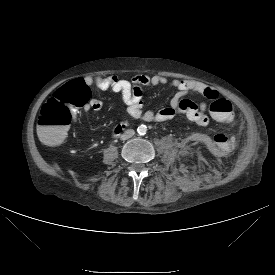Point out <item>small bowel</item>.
Segmentation results:
<instances>
[{
  "label": "small bowel",
  "instance_id": "c3829d8e",
  "mask_svg": "<svg viewBox=\"0 0 275 275\" xmlns=\"http://www.w3.org/2000/svg\"><path fill=\"white\" fill-rule=\"evenodd\" d=\"M85 83L95 86L102 90H110L121 96L123 103L127 107V111L134 119H142L146 122H165L179 115L186 116L192 122L205 126L210 119L206 112V104L193 105L187 96L192 92L203 94L207 99V95L218 96L217 90L204 86L195 80H169L163 75H136L132 79H123L117 76H88ZM168 85L176 90V93L170 101V105L154 112L143 109V91L142 87L147 86H164ZM103 101L92 100L86 107V110H100L103 107ZM211 142L215 151L223 156L228 157L233 154L236 142L227 132L218 130L213 133Z\"/></svg>",
  "mask_w": 275,
  "mask_h": 275
}]
</instances>
